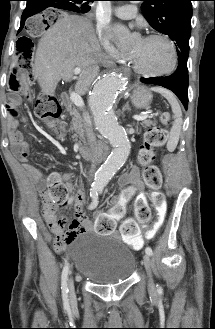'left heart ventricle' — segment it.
Wrapping results in <instances>:
<instances>
[{"label": "left heart ventricle", "instance_id": "b2bd125f", "mask_svg": "<svg viewBox=\"0 0 215 329\" xmlns=\"http://www.w3.org/2000/svg\"><path fill=\"white\" fill-rule=\"evenodd\" d=\"M138 64L146 71L159 72L168 69L173 53L167 42L160 39H139L130 50Z\"/></svg>", "mask_w": 215, "mask_h": 329}]
</instances>
